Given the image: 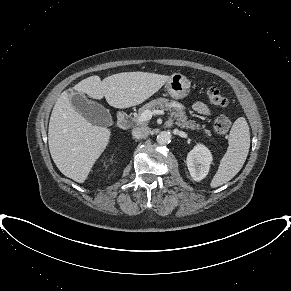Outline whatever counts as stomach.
<instances>
[{
	"label": "stomach",
	"mask_w": 291,
	"mask_h": 291,
	"mask_svg": "<svg viewBox=\"0 0 291 291\" xmlns=\"http://www.w3.org/2000/svg\"><path fill=\"white\" fill-rule=\"evenodd\" d=\"M190 81L180 73H174L166 82V89L174 99H183L190 92Z\"/></svg>",
	"instance_id": "obj_1"
}]
</instances>
